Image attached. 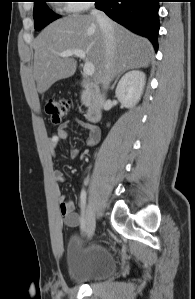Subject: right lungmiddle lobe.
Returning <instances> with one entry per match:
<instances>
[{"label":"right lung middle lobe","instance_id":"right-lung-middle-lobe-1","mask_svg":"<svg viewBox=\"0 0 195 299\" xmlns=\"http://www.w3.org/2000/svg\"><path fill=\"white\" fill-rule=\"evenodd\" d=\"M46 0H34V26L39 31L56 20L59 16L54 14L46 5Z\"/></svg>","mask_w":195,"mask_h":299}]
</instances>
